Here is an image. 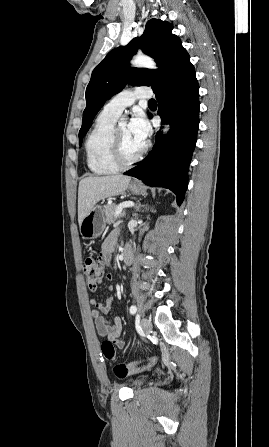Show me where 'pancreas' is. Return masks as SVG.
Here are the masks:
<instances>
[{
  "mask_svg": "<svg viewBox=\"0 0 269 447\" xmlns=\"http://www.w3.org/2000/svg\"><path fill=\"white\" fill-rule=\"evenodd\" d=\"M104 210L107 224H113V222H115V212L117 210L116 204H108V206H105ZM120 216L121 218L126 216L125 212H122Z\"/></svg>",
  "mask_w": 269,
  "mask_h": 447,
  "instance_id": "cf45deb5",
  "label": "pancreas"
}]
</instances>
